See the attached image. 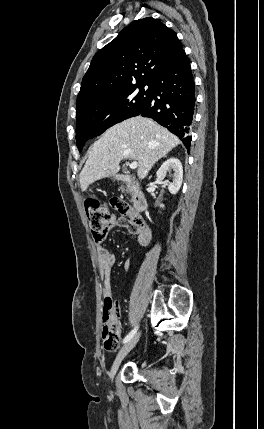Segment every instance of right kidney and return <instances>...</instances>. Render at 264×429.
I'll return each instance as SVG.
<instances>
[{
	"label": "right kidney",
	"mask_w": 264,
	"mask_h": 429,
	"mask_svg": "<svg viewBox=\"0 0 264 429\" xmlns=\"http://www.w3.org/2000/svg\"><path fill=\"white\" fill-rule=\"evenodd\" d=\"M171 169L174 171L173 182L167 184V186L169 192L175 195L179 191L183 180V167L179 159L173 157L166 160L157 171L156 177L158 180H163L165 174ZM160 207L163 208L164 205L160 204Z\"/></svg>",
	"instance_id": "right-kidney-1"
}]
</instances>
